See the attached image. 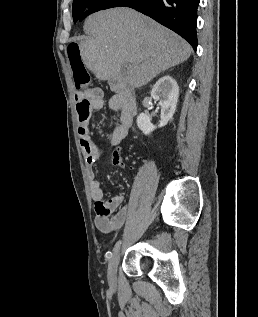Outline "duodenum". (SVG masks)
Segmentation results:
<instances>
[{"instance_id": "410a0bca", "label": "duodenum", "mask_w": 258, "mask_h": 317, "mask_svg": "<svg viewBox=\"0 0 258 317\" xmlns=\"http://www.w3.org/2000/svg\"><path fill=\"white\" fill-rule=\"evenodd\" d=\"M81 98H82V95H78V96H77V99H78V100H80ZM134 108L136 109V104H135V102H134Z\"/></svg>"}]
</instances>
